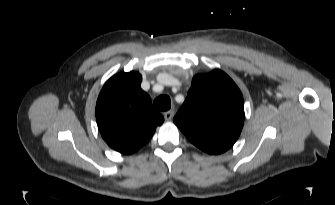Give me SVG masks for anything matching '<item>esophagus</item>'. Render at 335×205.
<instances>
[{"mask_svg": "<svg viewBox=\"0 0 335 205\" xmlns=\"http://www.w3.org/2000/svg\"><path fill=\"white\" fill-rule=\"evenodd\" d=\"M173 116H174V111L173 110H169V111L164 113V118H165L166 121H171Z\"/></svg>", "mask_w": 335, "mask_h": 205, "instance_id": "esophagus-1", "label": "esophagus"}]
</instances>
